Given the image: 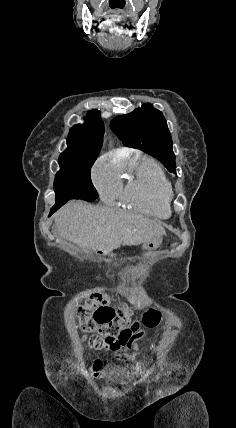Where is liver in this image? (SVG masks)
Returning a JSON list of instances; mask_svg holds the SVG:
<instances>
[{
    "label": "liver",
    "instance_id": "1",
    "mask_svg": "<svg viewBox=\"0 0 236 428\" xmlns=\"http://www.w3.org/2000/svg\"><path fill=\"white\" fill-rule=\"evenodd\" d=\"M54 218L64 240L98 252H112L121 244L139 246L165 234L161 224L143 214L116 212L106 206H89L75 200L63 206Z\"/></svg>",
    "mask_w": 236,
    "mask_h": 428
}]
</instances>
